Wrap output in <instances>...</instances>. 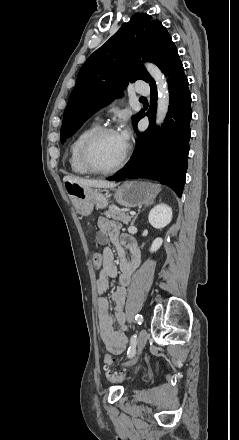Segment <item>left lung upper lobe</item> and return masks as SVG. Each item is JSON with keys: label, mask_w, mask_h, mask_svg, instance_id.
<instances>
[{"label": "left lung upper lobe", "mask_w": 239, "mask_h": 440, "mask_svg": "<svg viewBox=\"0 0 239 440\" xmlns=\"http://www.w3.org/2000/svg\"><path fill=\"white\" fill-rule=\"evenodd\" d=\"M166 28L145 13H136L81 67L64 113L60 139L74 134L82 123L122 94L128 82H150L138 62L150 61L162 69L174 47ZM139 115L133 117L135 124Z\"/></svg>", "instance_id": "5c2ea615"}]
</instances>
